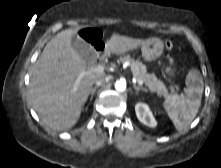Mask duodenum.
<instances>
[{
    "label": "duodenum",
    "instance_id": "duodenum-1",
    "mask_svg": "<svg viewBox=\"0 0 221 168\" xmlns=\"http://www.w3.org/2000/svg\"><path fill=\"white\" fill-rule=\"evenodd\" d=\"M94 53L99 59L104 57L106 53V46L102 41H98L94 44Z\"/></svg>",
    "mask_w": 221,
    "mask_h": 168
}]
</instances>
